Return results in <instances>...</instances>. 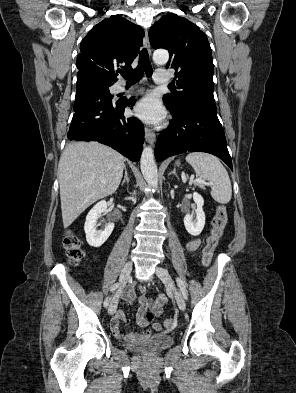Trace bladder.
Wrapping results in <instances>:
<instances>
[{
  "label": "bladder",
  "mask_w": 296,
  "mask_h": 393,
  "mask_svg": "<svg viewBox=\"0 0 296 393\" xmlns=\"http://www.w3.org/2000/svg\"><path fill=\"white\" fill-rule=\"evenodd\" d=\"M173 342L174 338L171 335L156 334L146 340L127 341L126 347L145 354H151L171 346Z\"/></svg>",
  "instance_id": "31cf9c89"
}]
</instances>
